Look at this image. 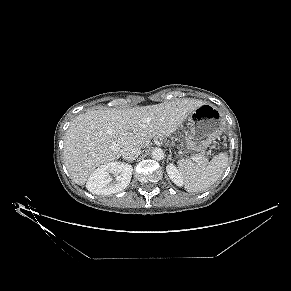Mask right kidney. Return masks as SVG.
I'll return each mask as SVG.
<instances>
[{
  "mask_svg": "<svg viewBox=\"0 0 291 291\" xmlns=\"http://www.w3.org/2000/svg\"><path fill=\"white\" fill-rule=\"evenodd\" d=\"M133 168L129 164L110 162L92 172L86 183L89 192L96 195L114 194L125 189L130 183ZM110 174H113L115 180Z\"/></svg>",
  "mask_w": 291,
  "mask_h": 291,
  "instance_id": "1",
  "label": "right kidney"
}]
</instances>
